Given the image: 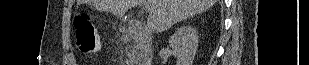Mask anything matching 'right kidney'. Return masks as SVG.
<instances>
[{
    "label": "right kidney",
    "instance_id": "right-kidney-1",
    "mask_svg": "<svg viewBox=\"0 0 309 65\" xmlns=\"http://www.w3.org/2000/svg\"><path fill=\"white\" fill-rule=\"evenodd\" d=\"M169 46L177 57L176 65H192L198 47V33L191 26H182L169 38Z\"/></svg>",
    "mask_w": 309,
    "mask_h": 65
}]
</instances>
